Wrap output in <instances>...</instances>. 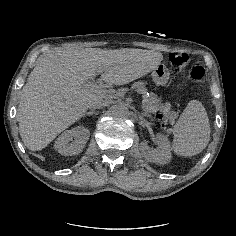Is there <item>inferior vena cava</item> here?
<instances>
[{
	"label": "inferior vena cava",
	"instance_id": "1",
	"mask_svg": "<svg viewBox=\"0 0 236 236\" xmlns=\"http://www.w3.org/2000/svg\"><path fill=\"white\" fill-rule=\"evenodd\" d=\"M107 105H108V101L103 100L100 103H98L95 106H93V108H103V107H105Z\"/></svg>",
	"mask_w": 236,
	"mask_h": 236
}]
</instances>
